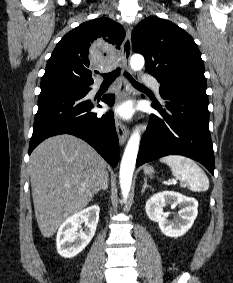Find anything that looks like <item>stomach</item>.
<instances>
[{
    "label": "stomach",
    "mask_w": 233,
    "mask_h": 283,
    "mask_svg": "<svg viewBox=\"0 0 233 283\" xmlns=\"http://www.w3.org/2000/svg\"><path fill=\"white\" fill-rule=\"evenodd\" d=\"M144 173H145L147 176L153 175V174H154V169H153V167H151V166H146V167L144 168Z\"/></svg>",
    "instance_id": "stomach-1"
}]
</instances>
